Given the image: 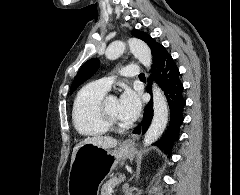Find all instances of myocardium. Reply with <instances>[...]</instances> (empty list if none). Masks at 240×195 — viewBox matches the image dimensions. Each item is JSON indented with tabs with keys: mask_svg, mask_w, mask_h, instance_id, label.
<instances>
[{
	"mask_svg": "<svg viewBox=\"0 0 240 195\" xmlns=\"http://www.w3.org/2000/svg\"><path fill=\"white\" fill-rule=\"evenodd\" d=\"M114 97L113 95H106L102 102L100 107V112L102 119L104 123L109 127L113 129H122L125 127L122 120L117 119L110 111L109 109V101L110 99Z\"/></svg>",
	"mask_w": 240,
	"mask_h": 195,
	"instance_id": "obj_1",
	"label": "myocardium"
}]
</instances>
